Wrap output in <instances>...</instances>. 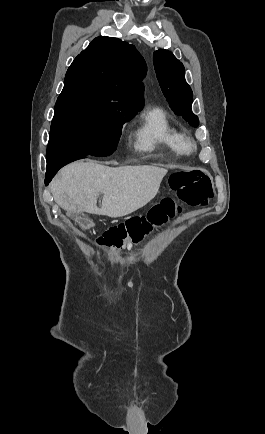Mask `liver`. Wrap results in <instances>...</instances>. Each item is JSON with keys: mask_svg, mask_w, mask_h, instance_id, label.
Wrapping results in <instances>:
<instances>
[{"mask_svg": "<svg viewBox=\"0 0 265 434\" xmlns=\"http://www.w3.org/2000/svg\"><path fill=\"white\" fill-rule=\"evenodd\" d=\"M166 174L165 168L156 166L109 168L81 160L60 170L51 182V192L67 214L121 218L153 200ZM100 194H104L102 208L96 206Z\"/></svg>", "mask_w": 265, "mask_h": 434, "instance_id": "liver-1", "label": "liver"}]
</instances>
